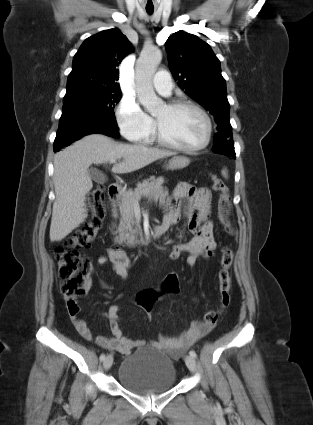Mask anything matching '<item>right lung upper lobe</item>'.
<instances>
[{"mask_svg": "<svg viewBox=\"0 0 313 425\" xmlns=\"http://www.w3.org/2000/svg\"><path fill=\"white\" fill-rule=\"evenodd\" d=\"M132 51L131 43L118 29L104 30L87 38L73 58L66 93L120 90L117 66Z\"/></svg>", "mask_w": 313, "mask_h": 425, "instance_id": "cb5924a9", "label": "right lung upper lobe"}]
</instances>
